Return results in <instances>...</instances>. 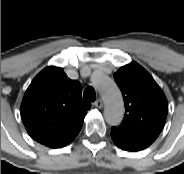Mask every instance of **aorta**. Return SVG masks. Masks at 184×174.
I'll use <instances>...</instances> for the list:
<instances>
[{
	"mask_svg": "<svg viewBox=\"0 0 184 174\" xmlns=\"http://www.w3.org/2000/svg\"><path fill=\"white\" fill-rule=\"evenodd\" d=\"M94 83L105 101L106 122L113 126L120 124L124 115V103L119 88L105 75L96 76Z\"/></svg>",
	"mask_w": 184,
	"mask_h": 174,
	"instance_id": "762f6f07",
	"label": "aorta"
}]
</instances>
